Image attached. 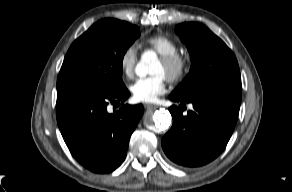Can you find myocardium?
Instances as JSON below:
<instances>
[{
    "instance_id": "myocardium-1",
    "label": "myocardium",
    "mask_w": 292,
    "mask_h": 192,
    "mask_svg": "<svg viewBox=\"0 0 292 192\" xmlns=\"http://www.w3.org/2000/svg\"><path fill=\"white\" fill-rule=\"evenodd\" d=\"M160 61L165 66L166 78L172 83L182 80L188 72L189 61L187 57L179 53L161 56Z\"/></svg>"
}]
</instances>
